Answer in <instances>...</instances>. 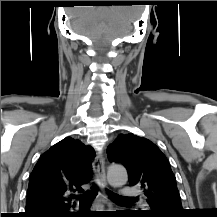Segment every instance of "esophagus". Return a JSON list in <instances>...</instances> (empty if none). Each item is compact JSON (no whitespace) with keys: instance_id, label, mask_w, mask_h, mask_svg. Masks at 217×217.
<instances>
[{"instance_id":"1","label":"esophagus","mask_w":217,"mask_h":217,"mask_svg":"<svg viewBox=\"0 0 217 217\" xmlns=\"http://www.w3.org/2000/svg\"><path fill=\"white\" fill-rule=\"evenodd\" d=\"M93 171L99 187L101 188L100 199L103 203H107L105 188L107 187L106 173H105V159L103 155L99 154L93 162Z\"/></svg>"}]
</instances>
